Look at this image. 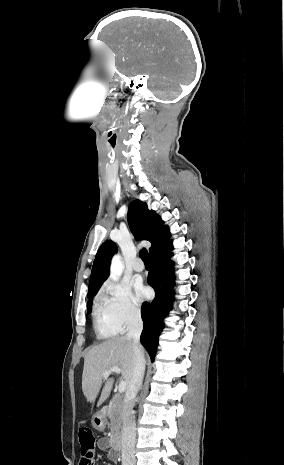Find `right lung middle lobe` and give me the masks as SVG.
<instances>
[{"label":"right lung middle lobe","instance_id":"1","mask_svg":"<svg viewBox=\"0 0 284 465\" xmlns=\"http://www.w3.org/2000/svg\"><path fill=\"white\" fill-rule=\"evenodd\" d=\"M95 295H96V294H93V295H89V296H87V297H88V298H92V297H94ZM91 307H92V303H91V301H89L88 304H87V311H88V313L91 312Z\"/></svg>","mask_w":284,"mask_h":465}]
</instances>
